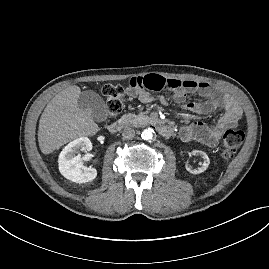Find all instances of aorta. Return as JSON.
Masks as SVG:
<instances>
[{"instance_id": "762f6f07", "label": "aorta", "mask_w": 269, "mask_h": 269, "mask_svg": "<svg viewBox=\"0 0 269 269\" xmlns=\"http://www.w3.org/2000/svg\"><path fill=\"white\" fill-rule=\"evenodd\" d=\"M153 129L147 128L143 130L141 136L144 140H151L153 138Z\"/></svg>"}]
</instances>
